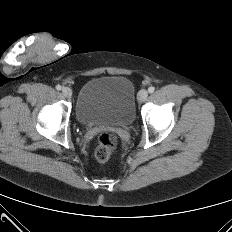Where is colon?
<instances>
[{"mask_svg": "<svg viewBox=\"0 0 232 232\" xmlns=\"http://www.w3.org/2000/svg\"><path fill=\"white\" fill-rule=\"evenodd\" d=\"M116 149V138L107 132L99 135L95 149V158L100 162H106L111 158Z\"/></svg>", "mask_w": 232, "mask_h": 232, "instance_id": "colon-1", "label": "colon"}]
</instances>
